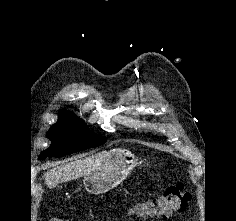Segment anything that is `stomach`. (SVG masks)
I'll return each instance as SVG.
<instances>
[{
    "mask_svg": "<svg viewBox=\"0 0 236 221\" xmlns=\"http://www.w3.org/2000/svg\"><path fill=\"white\" fill-rule=\"evenodd\" d=\"M137 165L138 159L131 152L112 150L95 169L84 175V186L91 194L105 193L125 180Z\"/></svg>",
    "mask_w": 236,
    "mask_h": 221,
    "instance_id": "0dacf381",
    "label": "stomach"
}]
</instances>
